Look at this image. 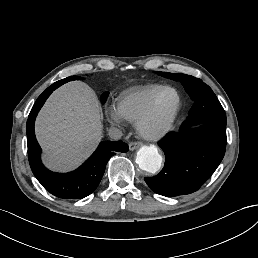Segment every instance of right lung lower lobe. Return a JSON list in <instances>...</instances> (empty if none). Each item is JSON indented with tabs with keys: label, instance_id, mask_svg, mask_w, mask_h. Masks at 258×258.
Returning a JSON list of instances; mask_svg holds the SVG:
<instances>
[{
	"label": "right lung lower lobe",
	"instance_id": "right-lung-lower-lobe-1",
	"mask_svg": "<svg viewBox=\"0 0 258 258\" xmlns=\"http://www.w3.org/2000/svg\"><path fill=\"white\" fill-rule=\"evenodd\" d=\"M83 79L70 76L48 87L34 103L27 120V145L30 167L37 180L51 194L63 199H82L99 185L106 164L115 152H127L128 145L122 141H103L95 152L76 170L70 173H55L41 162V148L36 140L34 123L36 116L49 95L59 86L72 80Z\"/></svg>",
	"mask_w": 258,
	"mask_h": 258
}]
</instances>
